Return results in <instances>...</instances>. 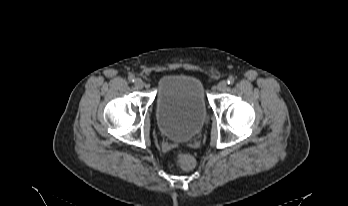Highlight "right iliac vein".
Listing matches in <instances>:
<instances>
[{"label":"right iliac vein","instance_id":"63e3f726","mask_svg":"<svg viewBox=\"0 0 348 206\" xmlns=\"http://www.w3.org/2000/svg\"><path fill=\"white\" fill-rule=\"evenodd\" d=\"M134 85L137 89H142L144 86V83L140 78H137L134 82Z\"/></svg>","mask_w":348,"mask_h":206}]
</instances>
